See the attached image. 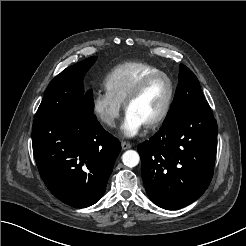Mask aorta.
I'll use <instances>...</instances> for the list:
<instances>
[{
  "instance_id": "aorta-1",
  "label": "aorta",
  "mask_w": 246,
  "mask_h": 246,
  "mask_svg": "<svg viewBox=\"0 0 246 246\" xmlns=\"http://www.w3.org/2000/svg\"><path fill=\"white\" fill-rule=\"evenodd\" d=\"M122 161H123L125 166L132 168V167H135L138 165V163L140 161V157L136 151L127 150L122 155Z\"/></svg>"
}]
</instances>
